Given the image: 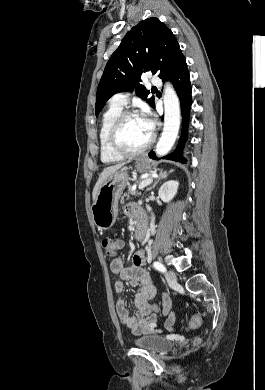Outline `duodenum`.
Here are the masks:
<instances>
[{"instance_id": "1", "label": "duodenum", "mask_w": 265, "mask_h": 390, "mask_svg": "<svg viewBox=\"0 0 265 390\" xmlns=\"http://www.w3.org/2000/svg\"><path fill=\"white\" fill-rule=\"evenodd\" d=\"M145 236H146L145 222L140 221V222H138L137 227H136V237L139 240H143L145 238Z\"/></svg>"}]
</instances>
